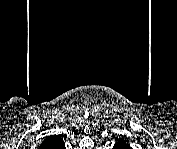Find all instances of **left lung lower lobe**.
Returning a JSON list of instances; mask_svg holds the SVG:
<instances>
[{
  "instance_id": "obj_1",
  "label": "left lung lower lobe",
  "mask_w": 177,
  "mask_h": 149,
  "mask_svg": "<svg viewBox=\"0 0 177 149\" xmlns=\"http://www.w3.org/2000/svg\"><path fill=\"white\" fill-rule=\"evenodd\" d=\"M128 145L125 144V142H123V139L118 140V144L116 145L117 149H122V148H127Z\"/></svg>"
}]
</instances>
